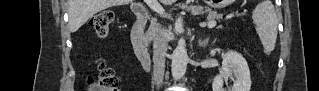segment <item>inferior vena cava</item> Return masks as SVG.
<instances>
[{
  "instance_id": "602c4592",
  "label": "inferior vena cava",
  "mask_w": 319,
  "mask_h": 91,
  "mask_svg": "<svg viewBox=\"0 0 319 91\" xmlns=\"http://www.w3.org/2000/svg\"><path fill=\"white\" fill-rule=\"evenodd\" d=\"M167 54V30L159 28L153 42L154 81L159 88L165 72V57Z\"/></svg>"
}]
</instances>
